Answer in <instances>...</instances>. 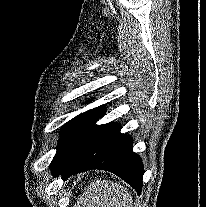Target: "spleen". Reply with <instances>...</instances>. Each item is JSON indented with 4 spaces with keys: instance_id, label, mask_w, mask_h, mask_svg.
<instances>
[{
    "instance_id": "obj_1",
    "label": "spleen",
    "mask_w": 206,
    "mask_h": 207,
    "mask_svg": "<svg viewBox=\"0 0 206 207\" xmlns=\"http://www.w3.org/2000/svg\"><path fill=\"white\" fill-rule=\"evenodd\" d=\"M74 207H132V195L120 183L96 180L78 198Z\"/></svg>"
}]
</instances>
